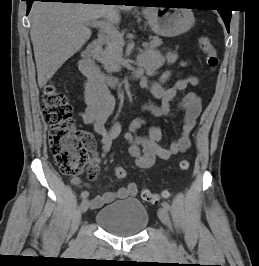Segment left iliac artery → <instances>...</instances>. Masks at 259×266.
Masks as SVG:
<instances>
[{
    "label": "left iliac artery",
    "instance_id": "44dca946",
    "mask_svg": "<svg viewBox=\"0 0 259 266\" xmlns=\"http://www.w3.org/2000/svg\"><path fill=\"white\" fill-rule=\"evenodd\" d=\"M162 206L164 209H166L167 211L171 210V206L169 205V203L167 202H162Z\"/></svg>",
    "mask_w": 259,
    "mask_h": 266
}]
</instances>
